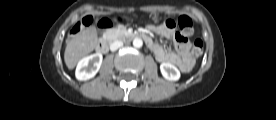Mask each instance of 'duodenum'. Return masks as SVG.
Instances as JSON below:
<instances>
[{"instance_id":"duodenum-1","label":"duodenum","mask_w":276,"mask_h":120,"mask_svg":"<svg viewBox=\"0 0 276 120\" xmlns=\"http://www.w3.org/2000/svg\"><path fill=\"white\" fill-rule=\"evenodd\" d=\"M132 37L143 39L147 45L151 43L149 37L144 33L134 34ZM109 47H110V42L108 40L99 41L96 45L97 51L103 54L109 51Z\"/></svg>"}]
</instances>
